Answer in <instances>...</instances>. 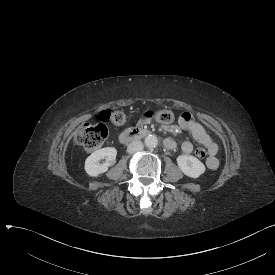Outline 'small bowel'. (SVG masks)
I'll use <instances>...</instances> for the list:
<instances>
[{
    "label": "small bowel",
    "instance_id": "1",
    "mask_svg": "<svg viewBox=\"0 0 275 275\" xmlns=\"http://www.w3.org/2000/svg\"><path fill=\"white\" fill-rule=\"evenodd\" d=\"M167 130L171 133H178L181 130L190 132L194 140L209 151V157L206 161V166L211 170L218 168L219 160L216 156L217 145L205 131L203 126L197 122L190 113H183L179 119L178 125H170L167 127ZM170 140L171 143L166 147L169 149H174L177 144L173 139ZM180 148L183 153L190 154L194 147L191 141L186 140L181 143Z\"/></svg>",
    "mask_w": 275,
    "mask_h": 275
}]
</instances>
